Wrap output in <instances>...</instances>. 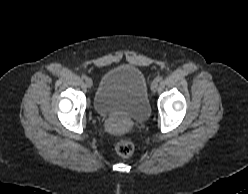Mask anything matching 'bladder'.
Masks as SVG:
<instances>
[{"instance_id":"bladder-1","label":"bladder","mask_w":248,"mask_h":194,"mask_svg":"<svg viewBox=\"0 0 248 194\" xmlns=\"http://www.w3.org/2000/svg\"><path fill=\"white\" fill-rule=\"evenodd\" d=\"M93 107L101 115L120 114L129 121H145L151 106L144 74L133 65L109 70L95 92Z\"/></svg>"}]
</instances>
